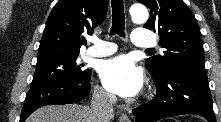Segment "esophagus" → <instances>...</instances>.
<instances>
[{"instance_id":"34e87169","label":"esophagus","mask_w":221,"mask_h":122,"mask_svg":"<svg viewBox=\"0 0 221 122\" xmlns=\"http://www.w3.org/2000/svg\"><path fill=\"white\" fill-rule=\"evenodd\" d=\"M119 122H130V119L127 114H121L119 117Z\"/></svg>"}]
</instances>
